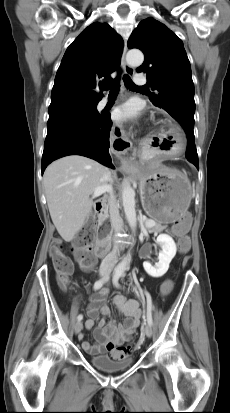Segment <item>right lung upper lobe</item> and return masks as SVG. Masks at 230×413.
<instances>
[{
    "label": "right lung upper lobe",
    "mask_w": 230,
    "mask_h": 413,
    "mask_svg": "<svg viewBox=\"0 0 230 413\" xmlns=\"http://www.w3.org/2000/svg\"><path fill=\"white\" fill-rule=\"evenodd\" d=\"M123 39L107 23L89 25L67 48L58 68L51 93L50 107L63 104L98 103L102 91L96 86L111 82L118 69Z\"/></svg>",
    "instance_id": "cb5924a9"
}]
</instances>
